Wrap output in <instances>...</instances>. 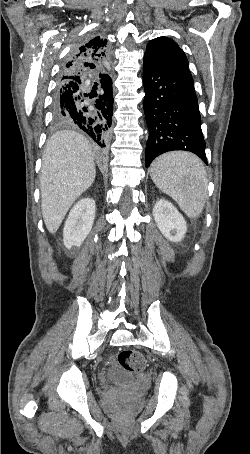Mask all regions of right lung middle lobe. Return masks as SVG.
I'll list each match as a JSON object with an SVG mask.
<instances>
[{
    "label": "right lung middle lobe",
    "instance_id": "obj_1",
    "mask_svg": "<svg viewBox=\"0 0 250 454\" xmlns=\"http://www.w3.org/2000/svg\"><path fill=\"white\" fill-rule=\"evenodd\" d=\"M54 121L56 124H60L59 121L57 119L54 118Z\"/></svg>",
    "mask_w": 250,
    "mask_h": 454
}]
</instances>
